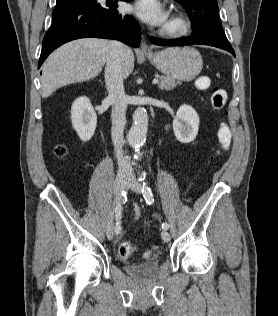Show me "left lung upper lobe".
Here are the masks:
<instances>
[{"label": "left lung upper lobe", "instance_id": "obj_1", "mask_svg": "<svg viewBox=\"0 0 278 316\" xmlns=\"http://www.w3.org/2000/svg\"><path fill=\"white\" fill-rule=\"evenodd\" d=\"M189 14L194 31L191 36L231 46L221 25L216 0H176Z\"/></svg>", "mask_w": 278, "mask_h": 316}]
</instances>
